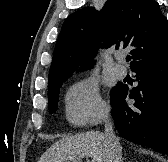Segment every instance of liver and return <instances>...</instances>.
I'll return each instance as SVG.
<instances>
[{
	"label": "liver",
	"instance_id": "obj_1",
	"mask_svg": "<svg viewBox=\"0 0 168 162\" xmlns=\"http://www.w3.org/2000/svg\"><path fill=\"white\" fill-rule=\"evenodd\" d=\"M91 157V162H109L105 135L98 131L65 137L55 142L38 162H76Z\"/></svg>",
	"mask_w": 168,
	"mask_h": 162
}]
</instances>
